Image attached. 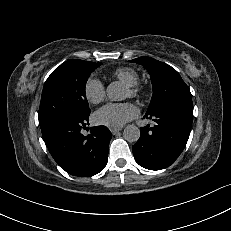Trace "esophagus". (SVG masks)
Returning a JSON list of instances; mask_svg holds the SVG:
<instances>
[{
    "label": "esophagus",
    "instance_id": "esophagus-1",
    "mask_svg": "<svg viewBox=\"0 0 231 231\" xmlns=\"http://www.w3.org/2000/svg\"><path fill=\"white\" fill-rule=\"evenodd\" d=\"M122 130V128H111L110 129V132L113 134V135H115V134H117L119 131H121Z\"/></svg>",
    "mask_w": 231,
    "mask_h": 231
}]
</instances>
